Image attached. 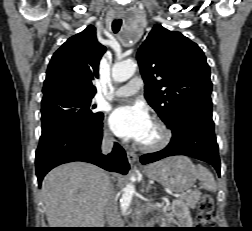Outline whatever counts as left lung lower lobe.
<instances>
[{
  "label": "left lung lower lobe",
  "mask_w": 252,
  "mask_h": 231,
  "mask_svg": "<svg viewBox=\"0 0 252 231\" xmlns=\"http://www.w3.org/2000/svg\"><path fill=\"white\" fill-rule=\"evenodd\" d=\"M168 126L172 130L169 145L161 151L143 155L142 164L168 156L186 155L210 163L220 175V159L212 111L199 108L185 110Z\"/></svg>",
  "instance_id": "1"
}]
</instances>
